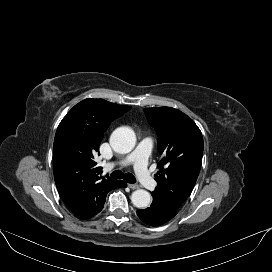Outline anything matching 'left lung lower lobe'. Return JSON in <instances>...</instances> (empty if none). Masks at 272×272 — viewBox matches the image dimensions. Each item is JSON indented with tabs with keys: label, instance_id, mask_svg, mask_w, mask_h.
Listing matches in <instances>:
<instances>
[{
	"label": "left lung lower lobe",
	"instance_id": "left-lung-lower-lobe-1",
	"mask_svg": "<svg viewBox=\"0 0 272 272\" xmlns=\"http://www.w3.org/2000/svg\"><path fill=\"white\" fill-rule=\"evenodd\" d=\"M137 214L144 223L150 226H160L171 220L177 214V209L153 197L151 206L143 210H137Z\"/></svg>",
	"mask_w": 272,
	"mask_h": 272
}]
</instances>
